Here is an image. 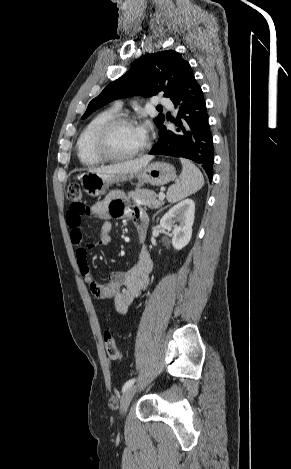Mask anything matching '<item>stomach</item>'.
Returning a JSON list of instances; mask_svg holds the SVG:
<instances>
[{"instance_id": "stomach-1", "label": "stomach", "mask_w": 291, "mask_h": 469, "mask_svg": "<svg viewBox=\"0 0 291 469\" xmlns=\"http://www.w3.org/2000/svg\"><path fill=\"white\" fill-rule=\"evenodd\" d=\"M175 175V168L171 164L153 162L129 176L125 174L84 173L81 176V185L89 196L99 197L104 195L113 183L119 181H125L136 177L139 181L150 185L162 186L172 181Z\"/></svg>"}]
</instances>
